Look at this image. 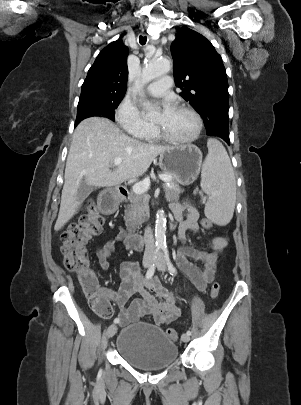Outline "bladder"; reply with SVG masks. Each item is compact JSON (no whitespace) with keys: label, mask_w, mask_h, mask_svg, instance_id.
<instances>
[{"label":"bladder","mask_w":301,"mask_h":405,"mask_svg":"<svg viewBox=\"0 0 301 405\" xmlns=\"http://www.w3.org/2000/svg\"><path fill=\"white\" fill-rule=\"evenodd\" d=\"M116 351L128 363L146 371L167 368L178 357L176 343L161 328L146 322L123 328L116 340Z\"/></svg>","instance_id":"bladder-1"}]
</instances>
